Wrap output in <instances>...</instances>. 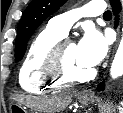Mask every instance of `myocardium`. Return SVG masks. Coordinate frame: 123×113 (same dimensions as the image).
I'll return each mask as SVG.
<instances>
[{"mask_svg":"<svg viewBox=\"0 0 123 113\" xmlns=\"http://www.w3.org/2000/svg\"><path fill=\"white\" fill-rule=\"evenodd\" d=\"M69 43H72V41L67 38L59 40L51 49L43 66L46 75L63 86L85 83L95 76L93 69L81 77L73 76L69 73L65 65L64 57L65 48Z\"/></svg>","mask_w":123,"mask_h":113,"instance_id":"f54148a6","label":"myocardium"}]
</instances>
